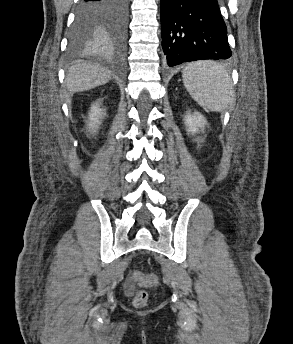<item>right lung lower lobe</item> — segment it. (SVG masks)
I'll return each mask as SVG.
<instances>
[{
	"label": "right lung lower lobe",
	"mask_w": 293,
	"mask_h": 344,
	"mask_svg": "<svg viewBox=\"0 0 293 344\" xmlns=\"http://www.w3.org/2000/svg\"><path fill=\"white\" fill-rule=\"evenodd\" d=\"M79 9L94 13L99 18L96 45L123 49L127 33L128 0H80Z\"/></svg>",
	"instance_id": "right-lung-lower-lobe-1"
}]
</instances>
